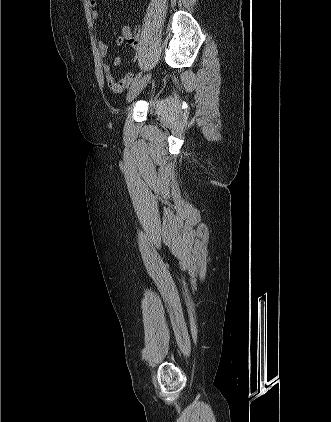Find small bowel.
I'll use <instances>...</instances> for the list:
<instances>
[{
	"instance_id": "c3829d8e",
	"label": "small bowel",
	"mask_w": 331,
	"mask_h": 422,
	"mask_svg": "<svg viewBox=\"0 0 331 422\" xmlns=\"http://www.w3.org/2000/svg\"><path fill=\"white\" fill-rule=\"evenodd\" d=\"M119 1L121 2L123 0H119ZM88 2H89V5L92 8L96 7V5H97V0H88ZM91 17H92L93 21L96 23V25H98L99 13H98L97 10H95V9L91 10ZM139 36H140L139 28L132 30V28L129 25H125L122 28L121 37L117 40L118 44H121L124 41H126L130 46H132L137 51V54L133 58L134 61L138 59L139 51H140ZM97 46H98L100 56L103 59H106L108 57V53H109L108 44L103 40H99L98 43H97ZM120 62H121L120 57H115V58H113L111 63L105 62L103 64V73H104V76L107 80V83L110 86V88L116 93L122 92L133 81V75L130 72L125 73L119 79H116V78L113 77L112 68L115 67V66H118L120 64Z\"/></svg>"
}]
</instances>
